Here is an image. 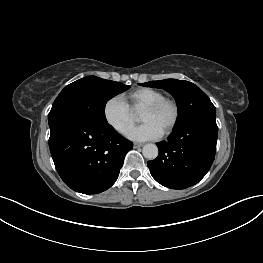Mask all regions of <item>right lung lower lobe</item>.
<instances>
[{"instance_id": "98d812e1", "label": "right lung lower lobe", "mask_w": 263, "mask_h": 263, "mask_svg": "<svg viewBox=\"0 0 263 263\" xmlns=\"http://www.w3.org/2000/svg\"><path fill=\"white\" fill-rule=\"evenodd\" d=\"M132 142L111 125L61 119L50 126L49 148L56 170L71 189L98 194L118 178Z\"/></svg>"}]
</instances>
